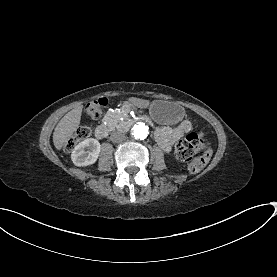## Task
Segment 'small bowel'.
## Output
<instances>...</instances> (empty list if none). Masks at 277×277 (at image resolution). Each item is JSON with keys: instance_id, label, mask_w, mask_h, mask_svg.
Listing matches in <instances>:
<instances>
[{"instance_id": "1", "label": "small bowel", "mask_w": 277, "mask_h": 277, "mask_svg": "<svg viewBox=\"0 0 277 277\" xmlns=\"http://www.w3.org/2000/svg\"><path fill=\"white\" fill-rule=\"evenodd\" d=\"M191 130V122L189 120H183L173 126H161L157 128L155 139L163 151L170 152L173 145Z\"/></svg>"}]
</instances>
